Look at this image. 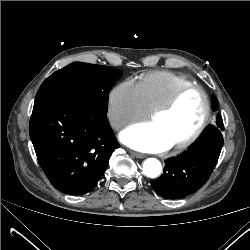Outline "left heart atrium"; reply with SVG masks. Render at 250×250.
Here are the masks:
<instances>
[{"mask_svg":"<svg viewBox=\"0 0 250 250\" xmlns=\"http://www.w3.org/2000/svg\"><path fill=\"white\" fill-rule=\"evenodd\" d=\"M120 139L126 145L144 152H162L173 145L152 122L129 127L120 134Z\"/></svg>","mask_w":250,"mask_h":250,"instance_id":"obj_1","label":"left heart atrium"}]
</instances>
